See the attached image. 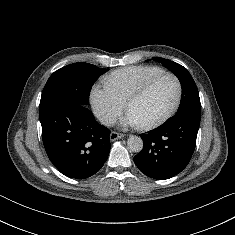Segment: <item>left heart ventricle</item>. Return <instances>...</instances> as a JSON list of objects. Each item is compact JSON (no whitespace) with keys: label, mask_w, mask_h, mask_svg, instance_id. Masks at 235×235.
<instances>
[{"label":"left heart ventricle","mask_w":235,"mask_h":235,"mask_svg":"<svg viewBox=\"0 0 235 235\" xmlns=\"http://www.w3.org/2000/svg\"><path fill=\"white\" fill-rule=\"evenodd\" d=\"M176 92V84L171 78H161L142 98L135 101L128 111L134 115L140 125L152 122L170 109L174 103Z\"/></svg>","instance_id":"left-heart-ventricle-1"}]
</instances>
